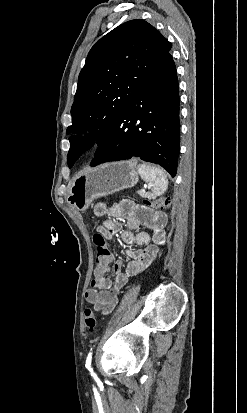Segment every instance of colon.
<instances>
[{"mask_svg": "<svg viewBox=\"0 0 247 413\" xmlns=\"http://www.w3.org/2000/svg\"><path fill=\"white\" fill-rule=\"evenodd\" d=\"M142 202H145L146 204H154L156 209L158 210H167L172 205L171 200L168 197H160L157 200L143 199ZM91 240L95 242V245L98 247L97 265L102 270H107L109 268V262H110L109 246L107 244H104V240L102 239V235L100 233H93L91 235ZM84 322H85V327L87 329L89 330L95 329L96 315L89 308H86L84 310Z\"/></svg>", "mask_w": 247, "mask_h": 413, "instance_id": "1", "label": "colon"}]
</instances>
